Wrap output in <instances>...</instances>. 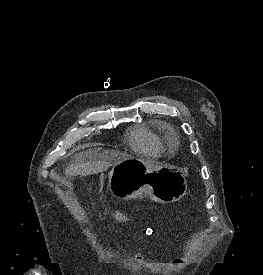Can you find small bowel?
<instances>
[{"mask_svg": "<svg viewBox=\"0 0 263 275\" xmlns=\"http://www.w3.org/2000/svg\"><path fill=\"white\" fill-rule=\"evenodd\" d=\"M142 259V256L140 254L137 255V260L140 261Z\"/></svg>", "mask_w": 263, "mask_h": 275, "instance_id": "1", "label": "small bowel"}]
</instances>
